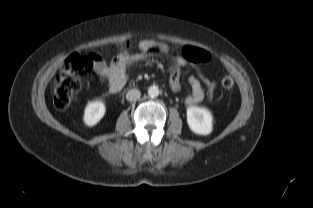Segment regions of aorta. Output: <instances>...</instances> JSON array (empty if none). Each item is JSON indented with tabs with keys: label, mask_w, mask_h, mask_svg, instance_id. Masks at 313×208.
<instances>
[{
	"label": "aorta",
	"mask_w": 313,
	"mask_h": 208,
	"mask_svg": "<svg viewBox=\"0 0 313 208\" xmlns=\"http://www.w3.org/2000/svg\"><path fill=\"white\" fill-rule=\"evenodd\" d=\"M148 95L151 97H157L159 95V88L157 86L149 87Z\"/></svg>",
	"instance_id": "1"
}]
</instances>
